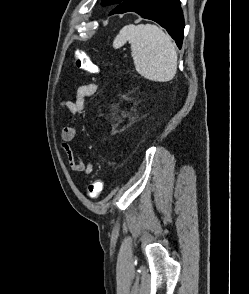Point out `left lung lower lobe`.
<instances>
[{"label": "left lung lower lobe", "mask_w": 249, "mask_h": 294, "mask_svg": "<svg viewBox=\"0 0 249 294\" xmlns=\"http://www.w3.org/2000/svg\"><path fill=\"white\" fill-rule=\"evenodd\" d=\"M133 11L143 18L151 19L164 27L182 46L184 18L179 0H124L109 15Z\"/></svg>", "instance_id": "left-lung-lower-lobe-1"}]
</instances>
